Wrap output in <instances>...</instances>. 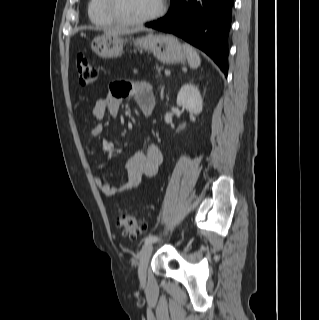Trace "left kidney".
Instances as JSON below:
<instances>
[{"label": "left kidney", "mask_w": 319, "mask_h": 320, "mask_svg": "<svg viewBox=\"0 0 319 320\" xmlns=\"http://www.w3.org/2000/svg\"><path fill=\"white\" fill-rule=\"evenodd\" d=\"M177 105L185 108L190 114H200L203 104L198 87L191 83L183 85L177 95Z\"/></svg>", "instance_id": "5707ae66"}]
</instances>
